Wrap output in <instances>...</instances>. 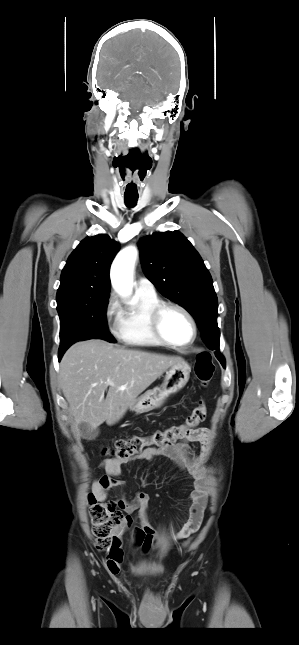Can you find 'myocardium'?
I'll return each instance as SVG.
<instances>
[{
  "label": "myocardium",
  "mask_w": 299,
  "mask_h": 645,
  "mask_svg": "<svg viewBox=\"0 0 299 645\" xmlns=\"http://www.w3.org/2000/svg\"><path fill=\"white\" fill-rule=\"evenodd\" d=\"M168 309H176L183 313L187 319L189 320L191 327H192V337L191 339L186 342V343H175L170 341L164 334L162 330V318L166 310ZM150 325L152 332L156 336V338L164 345L173 347V348H186L192 345L197 337V324L196 321L193 317V315L182 305L175 303V302H160L151 312L150 314Z\"/></svg>",
  "instance_id": "f54148a6"
}]
</instances>
